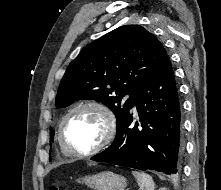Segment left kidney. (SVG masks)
Returning <instances> with one entry per match:
<instances>
[{"mask_svg":"<svg viewBox=\"0 0 221 190\" xmlns=\"http://www.w3.org/2000/svg\"><path fill=\"white\" fill-rule=\"evenodd\" d=\"M159 190H168V189H166V188H160Z\"/></svg>","mask_w":221,"mask_h":190,"instance_id":"1","label":"left kidney"}]
</instances>
